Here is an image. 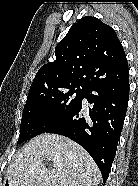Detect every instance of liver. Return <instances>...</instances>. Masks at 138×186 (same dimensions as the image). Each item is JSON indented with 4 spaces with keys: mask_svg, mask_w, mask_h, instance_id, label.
I'll return each instance as SVG.
<instances>
[{
    "mask_svg": "<svg viewBox=\"0 0 138 186\" xmlns=\"http://www.w3.org/2000/svg\"><path fill=\"white\" fill-rule=\"evenodd\" d=\"M53 163L45 167L44 161ZM9 186H96L101 173L91 156L71 139L42 134L31 139L7 169Z\"/></svg>",
    "mask_w": 138,
    "mask_h": 186,
    "instance_id": "6515ba94",
    "label": "liver"
}]
</instances>
